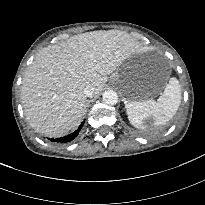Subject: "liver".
<instances>
[{"mask_svg": "<svg viewBox=\"0 0 205 205\" xmlns=\"http://www.w3.org/2000/svg\"><path fill=\"white\" fill-rule=\"evenodd\" d=\"M139 46L126 32L92 31L72 36L38 52L24 74L21 98L26 119L36 131L61 137L82 122L87 96H98L107 75L137 53Z\"/></svg>", "mask_w": 205, "mask_h": 205, "instance_id": "liver-1", "label": "liver"}]
</instances>
